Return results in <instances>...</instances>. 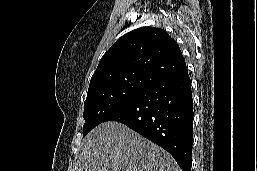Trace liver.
Listing matches in <instances>:
<instances>
[{
  "label": "liver",
  "instance_id": "6515ba94",
  "mask_svg": "<svg viewBox=\"0 0 257 171\" xmlns=\"http://www.w3.org/2000/svg\"><path fill=\"white\" fill-rule=\"evenodd\" d=\"M76 171H181L172 156L122 123L95 127L83 140Z\"/></svg>",
  "mask_w": 257,
  "mask_h": 171
}]
</instances>
